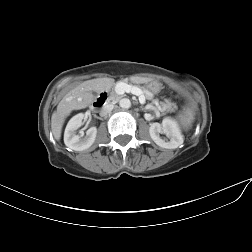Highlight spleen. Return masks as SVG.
<instances>
[{
	"mask_svg": "<svg viewBox=\"0 0 252 252\" xmlns=\"http://www.w3.org/2000/svg\"><path fill=\"white\" fill-rule=\"evenodd\" d=\"M181 125L188 129L193 121V112L190 108H184L183 111L178 116Z\"/></svg>",
	"mask_w": 252,
	"mask_h": 252,
	"instance_id": "spleen-1",
	"label": "spleen"
}]
</instances>
